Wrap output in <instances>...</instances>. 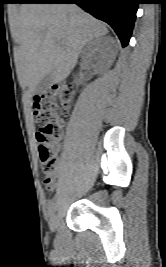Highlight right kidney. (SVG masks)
Instances as JSON below:
<instances>
[{
	"label": "right kidney",
	"instance_id": "right-kidney-1",
	"mask_svg": "<svg viewBox=\"0 0 166 267\" xmlns=\"http://www.w3.org/2000/svg\"><path fill=\"white\" fill-rule=\"evenodd\" d=\"M101 39H95L90 42L87 48L84 50L83 60L87 61L93 53H95L101 47Z\"/></svg>",
	"mask_w": 166,
	"mask_h": 267
}]
</instances>
